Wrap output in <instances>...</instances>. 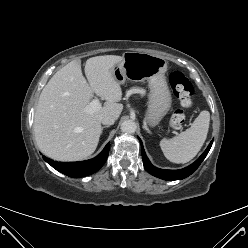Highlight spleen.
<instances>
[{
	"instance_id": "1",
	"label": "spleen",
	"mask_w": 248,
	"mask_h": 248,
	"mask_svg": "<svg viewBox=\"0 0 248 248\" xmlns=\"http://www.w3.org/2000/svg\"><path fill=\"white\" fill-rule=\"evenodd\" d=\"M210 113L202 111L191 127L171 139H162L160 147L165 157L173 163H187L202 148L209 129Z\"/></svg>"
}]
</instances>
